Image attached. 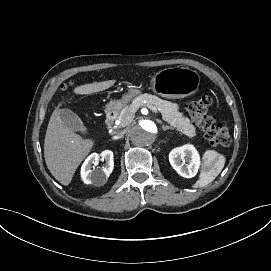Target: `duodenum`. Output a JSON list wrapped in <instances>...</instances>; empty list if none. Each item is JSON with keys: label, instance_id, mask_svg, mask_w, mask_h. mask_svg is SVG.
<instances>
[{"label": "duodenum", "instance_id": "duodenum-1", "mask_svg": "<svg viewBox=\"0 0 271 271\" xmlns=\"http://www.w3.org/2000/svg\"><path fill=\"white\" fill-rule=\"evenodd\" d=\"M115 118H116V113H115V111H113V110L109 111V112L107 113V115H106L105 125H106L107 127H110V126L114 123Z\"/></svg>", "mask_w": 271, "mask_h": 271}]
</instances>
